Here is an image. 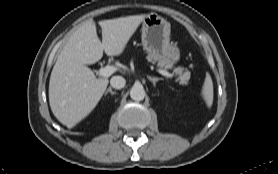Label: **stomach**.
Listing matches in <instances>:
<instances>
[{
    "instance_id": "obj_1",
    "label": "stomach",
    "mask_w": 278,
    "mask_h": 174,
    "mask_svg": "<svg viewBox=\"0 0 278 174\" xmlns=\"http://www.w3.org/2000/svg\"><path fill=\"white\" fill-rule=\"evenodd\" d=\"M171 26L163 17L150 13L142 21V45L150 57L171 65L180 59L177 44L170 41Z\"/></svg>"
}]
</instances>
